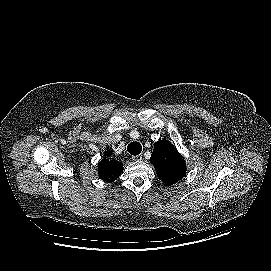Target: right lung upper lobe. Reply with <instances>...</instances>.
Masks as SVG:
<instances>
[{
  "mask_svg": "<svg viewBox=\"0 0 271 271\" xmlns=\"http://www.w3.org/2000/svg\"><path fill=\"white\" fill-rule=\"evenodd\" d=\"M112 152L107 150L105 157L110 156ZM123 165L119 161L103 159L98 163L99 177L106 182H114L122 173Z\"/></svg>",
  "mask_w": 271,
  "mask_h": 271,
  "instance_id": "1",
  "label": "right lung upper lobe"
}]
</instances>
